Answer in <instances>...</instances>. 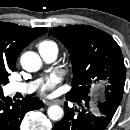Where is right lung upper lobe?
I'll return each mask as SVG.
<instances>
[{"mask_svg": "<svg viewBox=\"0 0 130 130\" xmlns=\"http://www.w3.org/2000/svg\"><path fill=\"white\" fill-rule=\"evenodd\" d=\"M46 32L47 28H29L0 22V66L13 71L22 49Z\"/></svg>", "mask_w": 130, "mask_h": 130, "instance_id": "cb5924a9", "label": "right lung upper lobe"}]
</instances>
